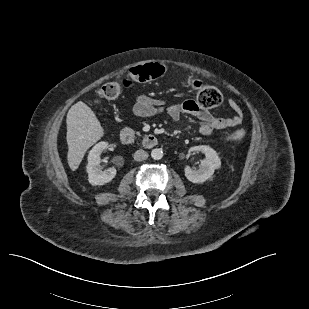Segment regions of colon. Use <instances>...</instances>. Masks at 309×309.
<instances>
[{"instance_id":"1","label":"colon","mask_w":309,"mask_h":309,"mask_svg":"<svg viewBox=\"0 0 309 309\" xmlns=\"http://www.w3.org/2000/svg\"><path fill=\"white\" fill-rule=\"evenodd\" d=\"M166 72V67L159 63H150L131 69L121 76L118 81L103 85L97 92L99 98L113 100L119 96L124 87L133 82H149L161 77ZM194 88L198 103L207 108L220 105L223 101L221 92L214 86L195 81ZM245 130L238 129L228 136L229 140L238 141L244 138Z\"/></svg>"}]
</instances>
